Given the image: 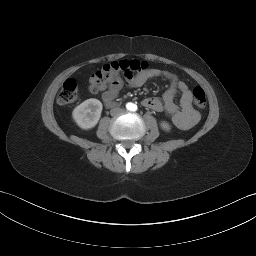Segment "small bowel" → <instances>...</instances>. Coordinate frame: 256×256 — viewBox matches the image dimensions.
I'll list each match as a JSON object with an SVG mask.
<instances>
[{
	"instance_id": "c3829d8e",
	"label": "small bowel",
	"mask_w": 256,
	"mask_h": 256,
	"mask_svg": "<svg viewBox=\"0 0 256 256\" xmlns=\"http://www.w3.org/2000/svg\"><path fill=\"white\" fill-rule=\"evenodd\" d=\"M154 77H164L169 80L170 85L163 94V102L156 97H148L142 101L143 106L157 112L164 110L171 117L173 124L181 130L192 128L199 121L200 115L192 107V93L188 85L172 72L149 69L145 73L130 79H115L108 85H103L98 91H103L102 97L104 100H113L125 86L131 88L141 87L148 79ZM178 93L180 94L179 105L174 102V98Z\"/></svg>"
}]
</instances>
